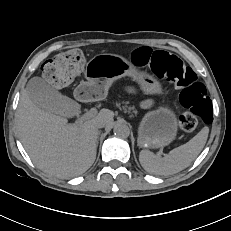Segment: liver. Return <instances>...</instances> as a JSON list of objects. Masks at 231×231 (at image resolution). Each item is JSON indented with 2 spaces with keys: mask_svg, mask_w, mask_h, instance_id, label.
<instances>
[{
  "mask_svg": "<svg viewBox=\"0 0 231 231\" xmlns=\"http://www.w3.org/2000/svg\"><path fill=\"white\" fill-rule=\"evenodd\" d=\"M16 119L23 147L37 167L50 175L70 178L92 166L99 135L97 125L102 122L110 128L114 113L101 109L83 122L68 123L65 117L38 108L24 90Z\"/></svg>",
  "mask_w": 231,
  "mask_h": 231,
  "instance_id": "1",
  "label": "liver"
}]
</instances>
